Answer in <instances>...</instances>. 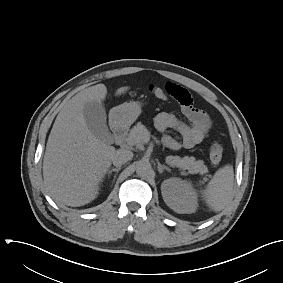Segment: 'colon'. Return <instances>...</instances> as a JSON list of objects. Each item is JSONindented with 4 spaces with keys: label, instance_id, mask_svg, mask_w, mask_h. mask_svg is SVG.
<instances>
[{
    "label": "colon",
    "instance_id": "5ec220e1",
    "mask_svg": "<svg viewBox=\"0 0 283 283\" xmlns=\"http://www.w3.org/2000/svg\"><path fill=\"white\" fill-rule=\"evenodd\" d=\"M150 92L159 99H165L166 93L164 88L158 85H150ZM223 155V147L219 141H214L210 147V161L213 165L220 164Z\"/></svg>",
    "mask_w": 283,
    "mask_h": 283
}]
</instances>
